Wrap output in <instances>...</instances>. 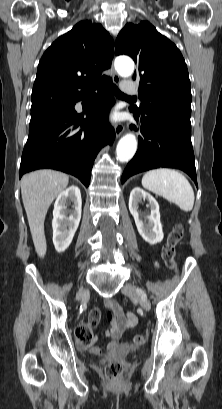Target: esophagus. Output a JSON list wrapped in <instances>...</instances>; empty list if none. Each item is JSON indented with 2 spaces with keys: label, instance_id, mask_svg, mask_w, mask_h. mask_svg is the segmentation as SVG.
Masks as SVG:
<instances>
[{
  "label": "esophagus",
  "instance_id": "esophagus-1",
  "mask_svg": "<svg viewBox=\"0 0 222 409\" xmlns=\"http://www.w3.org/2000/svg\"><path fill=\"white\" fill-rule=\"evenodd\" d=\"M111 71H112V79L113 82L118 85L120 83V78L119 76L116 74V72L114 71L113 65L111 66ZM124 131V125L123 123L119 122L115 125V135L116 138L120 137V135L123 133Z\"/></svg>",
  "mask_w": 222,
  "mask_h": 409
}]
</instances>
